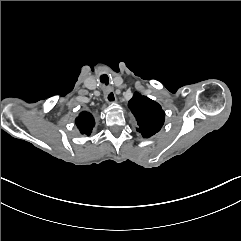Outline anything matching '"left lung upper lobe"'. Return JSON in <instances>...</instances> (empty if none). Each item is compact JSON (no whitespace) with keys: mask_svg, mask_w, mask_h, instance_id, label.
Here are the masks:
<instances>
[{"mask_svg":"<svg viewBox=\"0 0 241 241\" xmlns=\"http://www.w3.org/2000/svg\"><path fill=\"white\" fill-rule=\"evenodd\" d=\"M128 107L137 120L139 126L137 131L144 138H149L160 131L164 124L165 114L157 102L135 92L128 103Z\"/></svg>","mask_w":241,"mask_h":241,"instance_id":"5c2ea615","label":"left lung upper lobe"}]
</instances>
